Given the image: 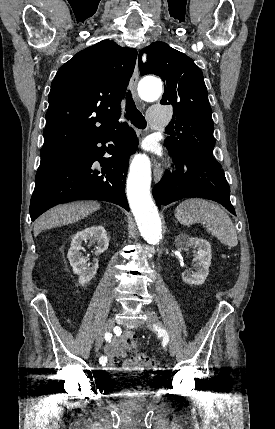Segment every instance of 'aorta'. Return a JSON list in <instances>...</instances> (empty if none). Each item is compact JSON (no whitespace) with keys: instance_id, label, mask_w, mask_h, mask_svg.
<instances>
[{"instance_id":"762f6f07","label":"aorta","mask_w":275,"mask_h":429,"mask_svg":"<svg viewBox=\"0 0 275 429\" xmlns=\"http://www.w3.org/2000/svg\"><path fill=\"white\" fill-rule=\"evenodd\" d=\"M140 96L145 101L157 100L162 93V83L148 78L140 85ZM151 171L148 160L136 157L127 178V197L141 236L150 244L162 239L161 220L150 194Z\"/></svg>"}]
</instances>
